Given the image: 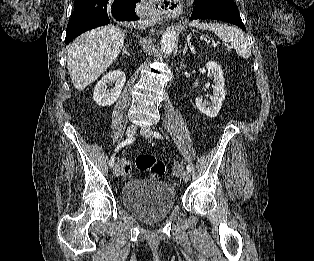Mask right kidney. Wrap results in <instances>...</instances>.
Returning a JSON list of instances; mask_svg holds the SVG:
<instances>
[{
    "label": "right kidney",
    "instance_id": "1",
    "mask_svg": "<svg viewBox=\"0 0 314 261\" xmlns=\"http://www.w3.org/2000/svg\"><path fill=\"white\" fill-rule=\"evenodd\" d=\"M125 82L126 77L122 71L114 70L109 72L97 83L93 92L94 101L103 107L114 104L120 97ZM111 83H115V86L109 90L107 84Z\"/></svg>",
    "mask_w": 314,
    "mask_h": 261
}]
</instances>
